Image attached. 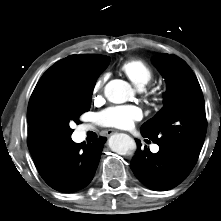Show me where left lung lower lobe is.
Returning a JSON list of instances; mask_svg holds the SVG:
<instances>
[{"label":"left lung lower lobe","mask_w":221,"mask_h":221,"mask_svg":"<svg viewBox=\"0 0 221 221\" xmlns=\"http://www.w3.org/2000/svg\"><path fill=\"white\" fill-rule=\"evenodd\" d=\"M143 137L144 134L142 133ZM138 150L131 162L135 176L147 187L155 191H166L180 184L191 172L195 163L189 161L179 151L159 146L158 153L141 149L136 139Z\"/></svg>","instance_id":"0a47b994"}]
</instances>
